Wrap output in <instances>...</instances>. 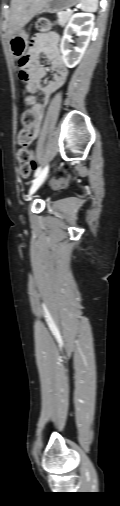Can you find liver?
<instances>
[{
	"label": "liver",
	"mask_w": 120,
	"mask_h": 506,
	"mask_svg": "<svg viewBox=\"0 0 120 506\" xmlns=\"http://www.w3.org/2000/svg\"><path fill=\"white\" fill-rule=\"evenodd\" d=\"M48 0H11L7 37L10 39L47 4Z\"/></svg>",
	"instance_id": "liver-1"
}]
</instances>
